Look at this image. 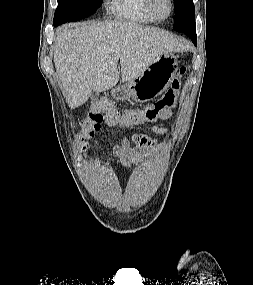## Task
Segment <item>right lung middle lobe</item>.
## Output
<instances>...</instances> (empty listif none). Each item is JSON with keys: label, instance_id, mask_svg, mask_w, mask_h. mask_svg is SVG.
<instances>
[{"label": "right lung middle lobe", "instance_id": "obj_1", "mask_svg": "<svg viewBox=\"0 0 253 285\" xmlns=\"http://www.w3.org/2000/svg\"><path fill=\"white\" fill-rule=\"evenodd\" d=\"M102 0H58L54 21L59 24L77 21L92 15Z\"/></svg>", "mask_w": 253, "mask_h": 285}]
</instances>
